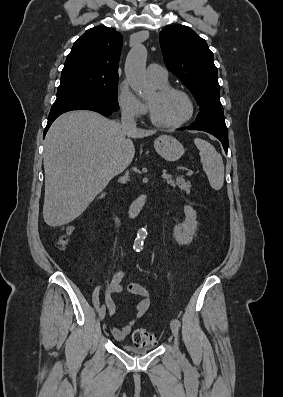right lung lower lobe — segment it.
<instances>
[{
    "label": "right lung lower lobe",
    "mask_w": 283,
    "mask_h": 397,
    "mask_svg": "<svg viewBox=\"0 0 283 397\" xmlns=\"http://www.w3.org/2000/svg\"><path fill=\"white\" fill-rule=\"evenodd\" d=\"M71 110H92L95 112H98L104 116H109L111 115L114 111L107 110L103 107L93 105V104H88V103H75V102H68V103H58V104H53L49 116H48V123L47 126L44 130V137L45 134L47 133L49 127L51 126L52 122L61 114L71 111Z\"/></svg>",
    "instance_id": "right-lung-lower-lobe-1"
}]
</instances>
